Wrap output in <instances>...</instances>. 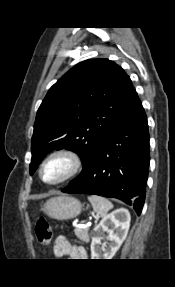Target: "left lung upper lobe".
I'll use <instances>...</instances> for the list:
<instances>
[{
    "instance_id": "obj_1",
    "label": "left lung upper lobe",
    "mask_w": 175,
    "mask_h": 287,
    "mask_svg": "<svg viewBox=\"0 0 175 287\" xmlns=\"http://www.w3.org/2000/svg\"><path fill=\"white\" fill-rule=\"evenodd\" d=\"M129 76L108 59H90L71 68L48 91L41 103L32 136L33 174L53 149L76 152L83 163L77 181L90 169L106 135L137 104Z\"/></svg>"
}]
</instances>
